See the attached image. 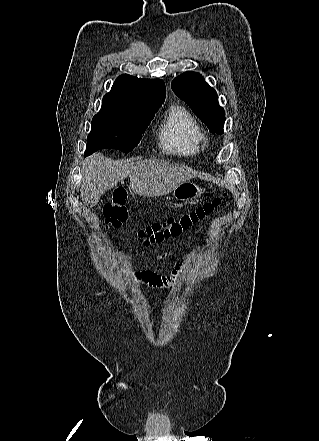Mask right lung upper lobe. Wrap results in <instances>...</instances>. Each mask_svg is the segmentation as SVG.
Here are the masks:
<instances>
[{"label":"right lung upper lobe","instance_id":"right-lung-upper-lobe-1","mask_svg":"<svg viewBox=\"0 0 319 441\" xmlns=\"http://www.w3.org/2000/svg\"><path fill=\"white\" fill-rule=\"evenodd\" d=\"M166 96L162 80H148L123 74L103 97L101 109L160 107Z\"/></svg>","mask_w":319,"mask_h":441}]
</instances>
